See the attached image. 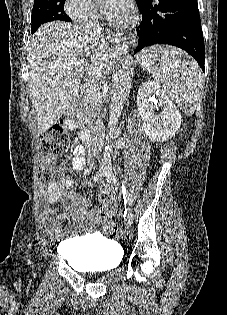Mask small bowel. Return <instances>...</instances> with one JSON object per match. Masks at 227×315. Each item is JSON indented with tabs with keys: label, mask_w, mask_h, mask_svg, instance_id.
Segmentation results:
<instances>
[{
	"label": "small bowel",
	"mask_w": 227,
	"mask_h": 315,
	"mask_svg": "<svg viewBox=\"0 0 227 315\" xmlns=\"http://www.w3.org/2000/svg\"><path fill=\"white\" fill-rule=\"evenodd\" d=\"M72 167L76 171H80L86 166L85 149L82 145L74 147L72 150ZM73 184V178L70 174H65L62 178L52 182L47 187L40 186L39 193L43 200L42 221L43 224L49 229L58 228L59 220L65 217V214L60 213L56 208L52 207L53 204L58 202L61 197L67 196L70 199L68 210L73 220H79L82 217L97 220L101 224L104 221L100 219L99 210L93 208L89 200L82 199L76 195L70 194L68 189ZM107 219L112 217L116 211V204L112 196L109 195ZM106 219V221H107Z\"/></svg>",
	"instance_id": "1"
}]
</instances>
